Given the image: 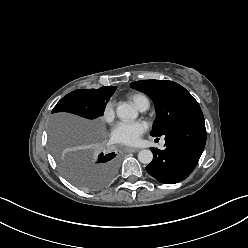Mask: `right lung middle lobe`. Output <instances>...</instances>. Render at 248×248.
I'll list each match as a JSON object with an SVG mask.
<instances>
[{
  "label": "right lung middle lobe",
  "mask_w": 248,
  "mask_h": 248,
  "mask_svg": "<svg viewBox=\"0 0 248 248\" xmlns=\"http://www.w3.org/2000/svg\"><path fill=\"white\" fill-rule=\"evenodd\" d=\"M117 87L75 90L63 97L52 113L69 112L87 119L103 115L107 102ZM52 151L64 176L85 191H97L107 186L117 173L116 154L101 153L96 160H89L83 152L68 151L52 139Z\"/></svg>",
  "instance_id": "obj_1"
}]
</instances>
